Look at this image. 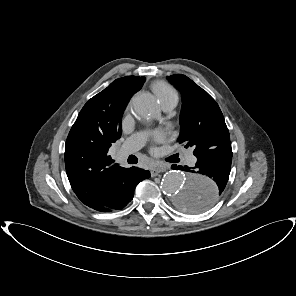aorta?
Masks as SVG:
<instances>
[{
  "mask_svg": "<svg viewBox=\"0 0 296 296\" xmlns=\"http://www.w3.org/2000/svg\"><path fill=\"white\" fill-rule=\"evenodd\" d=\"M131 107L141 118H148L155 110L152 97L146 93L136 95ZM161 187L173 204L187 213L207 212L219 197L218 186L212 178L192 172L169 171L163 176Z\"/></svg>",
  "mask_w": 296,
  "mask_h": 296,
  "instance_id": "1",
  "label": "aorta"
}]
</instances>
